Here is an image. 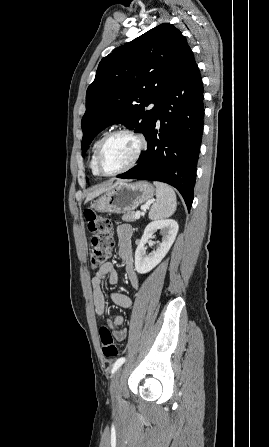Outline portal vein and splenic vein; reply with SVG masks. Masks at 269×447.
Returning <instances> with one entry per match:
<instances>
[{"mask_svg": "<svg viewBox=\"0 0 269 447\" xmlns=\"http://www.w3.org/2000/svg\"><path fill=\"white\" fill-rule=\"evenodd\" d=\"M140 216H141V214H139V212H136V214H135V220H140Z\"/></svg>", "mask_w": 269, "mask_h": 447, "instance_id": "1", "label": "portal vein and splenic vein"}]
</instances>
